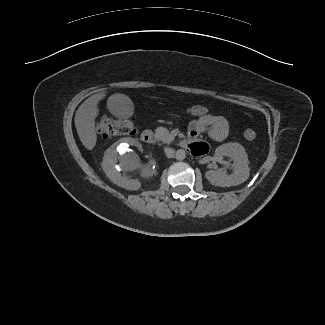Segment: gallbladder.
I'll return each mask as SVG.
<instances>
[{"label": "gallbladder", "mask_w": 325, "mask_h": 325, "mask_svg": "<svg viewBox=\"0 0 325 325\" xmlns=\"http://www.w3.org/2000/svg\"><path fill=\"white\" fill-rule=\"evenodd\" d=\"M109 111L118 118L131 117L134 113L133 104L128 100H122L116 103L107 104Z\"/></svg>", "instance_id": "1"}]
</instances>
